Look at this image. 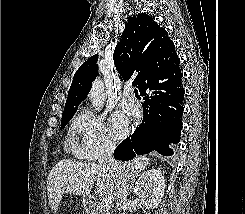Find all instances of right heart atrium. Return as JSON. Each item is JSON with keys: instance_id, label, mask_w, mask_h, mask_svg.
I'll return each instance as SVG.
<instances>
[{"instance_id": "1", "label": "right heart atrium", "mask_w": 245, "mask_h": 214, "mask_svg": "<svg viewBox=\"0 0 245 214\" xmlns=\"http://www.w3.org/2000/svg\"><path fill=\"white\" fill-rule=\"evenodd\" d=\"M70 130L78 158L94 161L113 151L114 142L104 121L88 110L77 113Z\"/></svg>"}]
</instances>
